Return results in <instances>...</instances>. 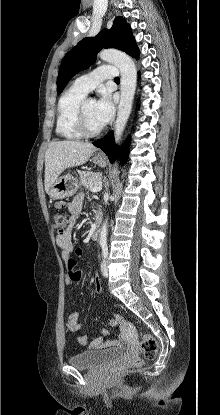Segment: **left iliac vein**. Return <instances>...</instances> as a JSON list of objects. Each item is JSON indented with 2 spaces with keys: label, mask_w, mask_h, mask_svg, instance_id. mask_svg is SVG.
Returning a JSON list of instances; mask_svg holds the SVG:
<instances>
[{
  "label": "left iliac vein",
  "mask_w": 220,
  "mask_h": 415,
  "mask_svg": "<svg viewBox=\"0 0 220 415\" xmlns=\"http://www.w3.org/2000/svg\"><path fill=\"white\" fill-rule=\"evenodd\" d=\"M101 272H102L104 277H108L109 271H108L107 264H106L105 260L101 264Z\"/></svg>",
  "instance_id": "1"
}]
</instances>
